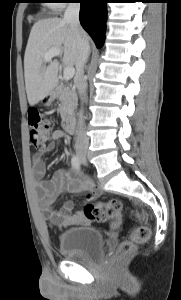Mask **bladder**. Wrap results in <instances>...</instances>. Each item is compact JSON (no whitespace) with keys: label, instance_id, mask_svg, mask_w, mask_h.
I'll use <instances>...</instances> for the list:
<instances>
[{"label":"bladder","instance_id":"31cf9c89","mask_svg":"<svg viewBox=\"0 0 181 300\" xmlns=\"http://www.w3.org/2000/svg\"><path fill=\"white\" fill-rule=\"evenodd\" d=\"M59 248L69 259L90 260L99 257L104 249V238L93 227H73L59 237Z\"/></svg>","mask_w":181,"mask_h":300}]
</instances>
